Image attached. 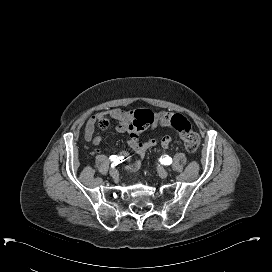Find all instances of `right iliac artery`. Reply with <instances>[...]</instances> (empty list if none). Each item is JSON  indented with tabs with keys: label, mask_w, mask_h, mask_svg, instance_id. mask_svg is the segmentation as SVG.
<instances>
[{
	"label": "right iliac artery",
	"mask_w": 272,
	"mask_h": 272,
	"mask_svg": "<svg viewBox=\"0 0 272 272\" xmlns=\"http://www.w3.org/2000/svg\"><path fill=\"white\" fill-rule=\"evenodd\" d=\"M123 157H118L116 155L110 156V160L113 161L112 168H114L116 165H118L120 162H123Z\"/></svg>",
	"instance_id": "right-iliac-artery-1"
}]
</instances>
